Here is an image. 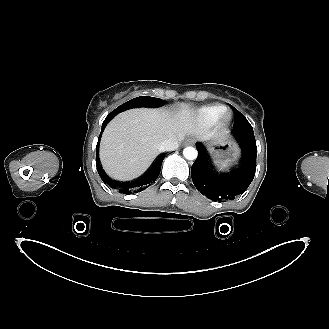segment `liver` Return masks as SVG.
Returning a JSON list of instances; mask_svg holds the SVG:
<instances>
[{
    "instance_id": "1",
    "label": "liver",
    "mask_w": 329,
    "mask_h": 329,
    "mask_svg": "<svg viewBox=\"0 0 329 329\" xmlns=\"http://www.w3.org/2000/svg\"><path fill=\"white\" fill-rule=\"evenodd\" d=\"M194 132L198 140L224 141L223 134L203 132L194 127L193 112L135 109L116 116L106 127L100 144V159L107 174L117 180H130L142 174L161 152L162 141Z\"/></svg>"
}]
</instances>
